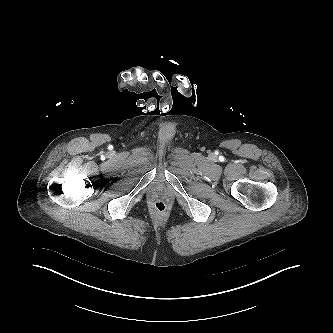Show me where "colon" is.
I'll list each match as a JSON object with an SVG mask.
<instances>
[{
    "mask_svg": "<svg viewBox=\"0 0 333 333\" xmlns=\"http://www.w3.org/2000/svg\"><path fill=\"white\" fill-rule=\"evenodd\" d=\"M153 209L157 213L163 214L167 211V204L163 200L158 199L153 203Z\"/></svg>",
    "mask_w": 333,
    "mask_h": 333,
    "instance_id": "obj_1",
    "label": "colon"
}]
</instances>
